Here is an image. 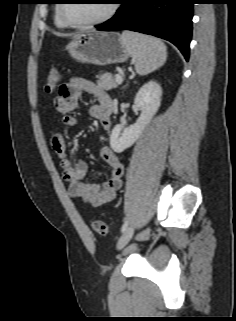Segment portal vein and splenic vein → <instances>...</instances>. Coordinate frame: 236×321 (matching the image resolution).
I'll list each match as a JSON object with an SVG mask.
<instances>
[{"mask_svg":"<svg viewBox=\"0 0 236 321\" xmlns=\"http://www.w3.org/2000/svg\"><path fill=\"white\" fill-rule=\"evenodd\" d=\"M115 79L117 84H121L123 82V77L119 74L115 75Z\"/></svg>","mask_w":236,"mask_h":321,"instance_id":"portal-vein-and-splenic-vein-1","label":"portal vein and splenic vein"}]
</instances>
